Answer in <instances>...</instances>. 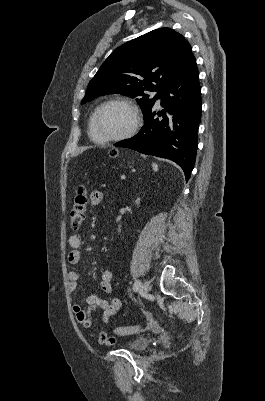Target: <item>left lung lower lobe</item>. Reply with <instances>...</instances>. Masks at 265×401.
<instances>
[{
    "label": "left lung lower lobe",
    "mask_w": 265,
    "mask_h": 401,
    "mask_svg": "<svg viewBox=\"0 0 265 401\" xmlns=\"http://www.w3.org/2000/svg\"><path fill=\"white\" fill-rule=\"evenodd\" d=\"M165 108L156 115L152 108L144 114L140 132L115 144L138 152L170 159L182 167L186 180L194 167L197 133L201 121V88L194 56L181 72L158 94ZM157 97V98H158Z\"/></svg>",
    "instance_id": "1"
}]
</instances>
